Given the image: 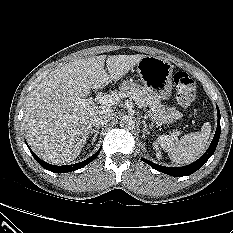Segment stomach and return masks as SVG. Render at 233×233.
<instances>
[{"label":"stomach","instance_id":"1","mask_svg":"<svg viewBox=\"0 0 233 233\" xmlns=\"http://www.w3.org/2000/svg\"><path fill=\"white\" fill-rule=\"evenodd\" d=\"M137 72L144 87L155 99L161 101L171 97L173 65L169 61L157 56H145L137 64Z\"/></svg>","mask_w":233,"mask_h":233}]
</instances>
